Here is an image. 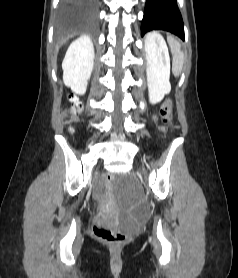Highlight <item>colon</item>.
I'll return each instance as SVG.
<instances>
[{"instance_id": "1", "label": "colon", "mask_w": 238, "mask_h": 278, "mask_svg": "<svg viewBox=\"0 0 238 278\" xmlns=\"http://www.w3.org/2000/svg\"><path fill=\"white\" fill-rule=\"evenodd\" d=\"M71 100L74 101V98L71 97ZM171 104L169 102L165 103L161 109V114L163 117L164 124H167L170 121L171 116ZM73 111L75 113L79 112V107L75 105L73 107ZM113 174H104L103 177V184L104 188H109L110 185H114ZM93 232L96 237L99 239L114 244V245H120L123 244L128 239V234L124 232L123 230L114 227V226H108L101 222H95L93 225Z\"/></svg>"}]
</instances>
